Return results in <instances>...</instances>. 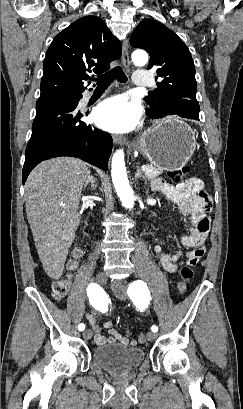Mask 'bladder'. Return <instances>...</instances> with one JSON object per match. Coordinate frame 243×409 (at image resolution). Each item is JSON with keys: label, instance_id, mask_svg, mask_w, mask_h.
Instances as JSON below:
<instances>
[{"label": "bladder", "instance_id": "31cf9c89", "mask_svg": "<svg viewBox=\"0 0 243 409\" xmlns=\"http://www.w3.org/2000/svg\"><path fill=\"white\" fill-rule=\"evenodd\" d=\"M93 359L105 370L120 374L138 368L145 359V352L141 347L110 343L95 347Z\"/></svg>", "mask_w": 243, "mask_h": 409}]
</instances>
